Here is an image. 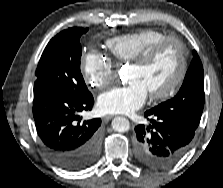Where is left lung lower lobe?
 Wrapping results in <instances>:
<instances>
[{
	"label": "left lung lower lobe",
	"mask_w": 223,
	"mask_h": 188,
	"mask_svg": "<svg viewBox=\"0 0 223 188\" xmlns=\"http://www.w3.org/2000/svg\"><path fill=\"white\" fill-rule=\"evenodd\" d=\"M145 117L152 123L148 127H135V155L152 168H165L179 161L187 152L195 130L156 115L151 110Z\"/></svg>",
	"instance_id": "1"
}]
</instances>
